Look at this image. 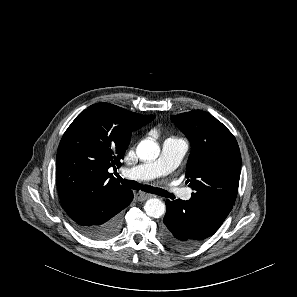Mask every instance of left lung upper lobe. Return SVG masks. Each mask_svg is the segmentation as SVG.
Listing matches in <instances>:
<instances>
[{"instance_id": "obj_1", "label": "left lung upper lobe", "mask_w": 297, "mask_h": 297, "mask_svg": "<svg viewBox=\"0 0 297 297\" xmlns=\"http://www.w3.org/2000/svg\"><path fill=\"white\" fill-rule=\"evenodd\" d=\"M188 137L191 153L186 166L191 199L233 205L237 197L241 155L233 134L211 114L201 110L172 115Z\"/></svg>"}]
</instances>
